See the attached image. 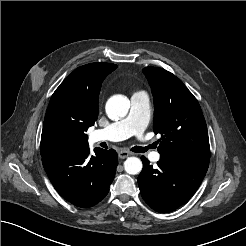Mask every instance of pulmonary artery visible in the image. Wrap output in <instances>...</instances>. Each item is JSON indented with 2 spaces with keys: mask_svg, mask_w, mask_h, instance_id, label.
I'll return each instance as SVG.
<instances>
[{
  "mask_svg": "<svg viewBox=\"0 0 246 246\" xmlns=\"http://www.w3.org/2000/svg\"><path fill=\"white\" fill-rule=\"evenodd\" d=\"M151 118V106L148 95L143 92H136L131 97L129 114L117 122H114L104 129H99L91 134V140L97 141H122L131 136L142 138L143 132ZM149 157L157 162L160 159L158 152H150Z\"/></svg>",
  "mask_w": 246,
  "mask_h": 246,
  "instance_id": "obj_1",
  "label": "pulmonary artery"
}]
</instances>
